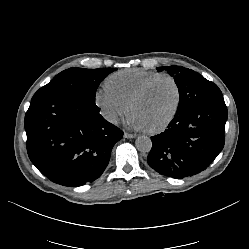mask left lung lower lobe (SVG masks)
Returning <instances> with one entry per match:
<instances>
[{
  "label": "left lung lower lobe",
  "instance_id": "0a47b994",
  "mask_svg": "<svg viewBox=\"0 0 249 249\" xmlns=\"http://www.w3.org/2000/svg\"><path fill=\"white\" fill-rule=\"evenodd\" d=\"M227 107L224 100L193 106L175 115L168 128L151 137V168L176 179L206 169L224 147Z\"/></svg>",
  "mask_w": 249,
  "mask_h": 249
}]
</instances>
